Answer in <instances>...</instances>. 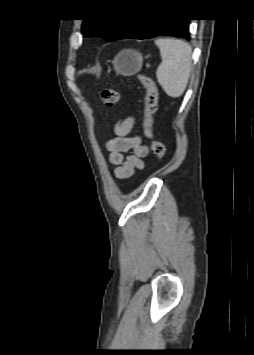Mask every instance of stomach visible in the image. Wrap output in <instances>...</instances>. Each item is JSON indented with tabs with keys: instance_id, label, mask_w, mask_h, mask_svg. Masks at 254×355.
<instances>
[{
	"instance_id": "1",
	"label": "stomach",
	"mask_w": 254,
	"mask_h": 355,
	"mask_svg": "<svg viewBox=\"0 0 254 355\" xmlns=\"http://www.w3.org/2000/svg\"><path fill=\"white\" fill-rule=\"evenodd\" d=\"M142 54L136 50L125 49L114 58L113 65L117 74L130 76L139 72L142 68Z\"/></svg>"
}]
</instances>
